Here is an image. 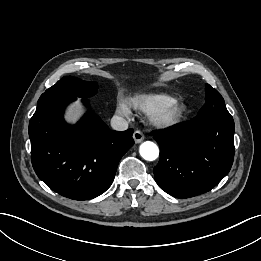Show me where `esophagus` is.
Returning a JSON list of instances; mask_svg holds the SVG:
<instances>
[{"instance_id": "34e87169", "label": "esophagus", "mask_w": 261, "mask_h": 261, "mask_svg": "<svg viewBox=\"0 0 261 261\" xmlns=\"http://www.w3.org/2000/svg\"><path fill=\"white\" fill-rule=\"evenodd\" d=\"M133 139H134L135 143H140L144 140V135L140 130H136L133 133Z\"/></svg>"}]
</instances>
